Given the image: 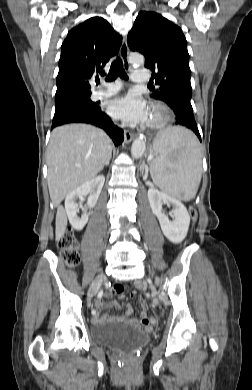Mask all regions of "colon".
I'll return each instance as SVG.
<instances>
[{"mask_svg":"<svg viewBox=\"0 0 252 390\" xmlns=\"http://www.w3.org/2000/svg\"><path fill=\"white\" fill-rule=\"evenodd\" d=\"M189 213L192 219L196 220L197 218L196 210L191 207ZM58 246L60 249L61 258L65 262V264H67L68 266H74L79 262L80 260L79 243L72 231H68L59 240ZM114 291L118 295H124L125 289L122 285L117 284L114 286ZM136 295H137L136 291L131 292L132 297H135Z\"/></svg>","mask_w":252,"mask_h":390,"instance_id":"obj_1","label":"colon"}]
</instances>
